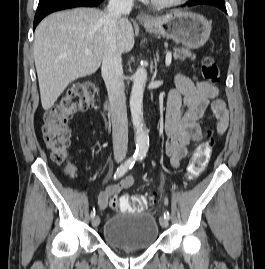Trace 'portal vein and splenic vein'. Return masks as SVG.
Returning a JSON list of instances; mask_svg holds the SVG:
<instances>
[{
  "instance_id": "obj_1",
  "label": "portal vein and splenic vein",
  "mask_w": 265,
  "mask_h": 269,
  "mask_svg": "<svg viewBox=\"0 0 265 269\" xmlns=\"http://www.w3.org/2000/svg\"><path fill=\"white\" fill-rule=\"evenodd\" d=\"M85 53L88 54V55L91 54V52L88 51V50L85 51ZM171 59H172V54H171V52H167V54H166V65H170V63H171Z\"/></svg>"
}]
</instances>
